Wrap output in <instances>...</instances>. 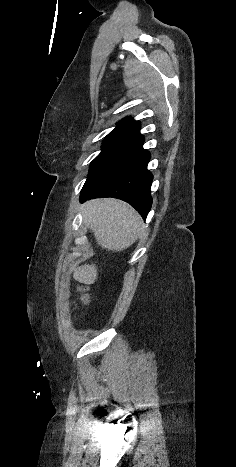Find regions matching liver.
I'll return each instance as SVG.
<instances>
[{
  "label": "liver",
  "mask_w": 236,
  "mask_h": 467,
  "mask_svg": "<svg viewBox=\"0 0 236 467\" xmlns=\"http://www.w3.org/2000/svg\"><path fill=\"white\" fill-rule=\"evenodd\" d=\"M84 221L102 248L122 251L131 246L143 231L140 215L127 203L111 198L95 199L83 206ZM76 281L90 285L97 280L95 264L73 270Z\"/></svg>",
  "instance_id": "obj_1"
}]
</instances>
